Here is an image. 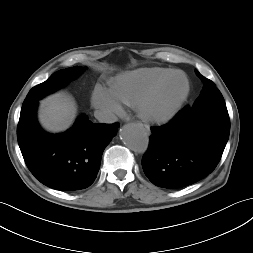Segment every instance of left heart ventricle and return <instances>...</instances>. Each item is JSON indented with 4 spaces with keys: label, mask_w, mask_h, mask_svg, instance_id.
Masks as SVG:
<instances>
[{
    "label": "left heart ventricle",
    "mask_w": 253,
    "mask_h": 253,
    "mask_svg": "<svg viewBox=\"0 0 253 253\" xmlns=\"http://www.w3.org/2000/svg\"><path fill=\"white\" fill-rule=\"evenodd\" d=\"M185 80L182 77H176L161 93L155 108L159 111L166 109L172 102H174L180 94L184 91Z\"/></svg>",
    "instance_id": "b2bd125f"
}]
</instances>
